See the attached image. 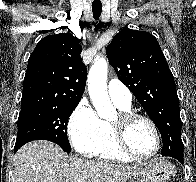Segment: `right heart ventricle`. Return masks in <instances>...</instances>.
I'll list each match as a JSON object with an SVG mask.
<instances>
[{
  "label": "right heart ventricle",
  "instance_id": "1",
  "mask_svg": "<svg viewBox=\"0 0 196 182\" xmlns=\"http://www.w3.org/2000/svg\"><path fill=\"white\" fill-rule=\"evenodd\" d=\"M115 104L122 111L130 110V106H124L118 103ZM90 155L96 157L97 159L113 162H129L132 160L131 158L122 154L114 145L110 123L107 121H101L100 140Z\"/></svg>",
  "mask_w": 196,
  "mask_h": 182
}]
</instances>
